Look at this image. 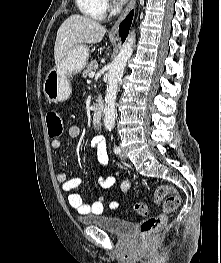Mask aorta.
Segmentation results:
<instances>
[{
    "label": "aorta",
    "mask_w": 221,
    "mask_h": 263,
    "mask_svg": "<svg viewBox=\"0 0 221 263\" xmlns=\"http://www.w3.org/2000/svg\"><path fill=\"white\" fill-rule=\"evenodd\" d=\"M134 44L135 33L132 31L122 45L119 54L110 65L105 96V108L103 112L104 125L109 131H111L115 125V102L118 84L123 75L126 63L133 53Z\"/></svg>",
    "instance_id": "1"
}]
</instances>
